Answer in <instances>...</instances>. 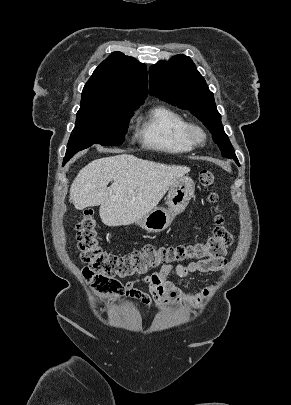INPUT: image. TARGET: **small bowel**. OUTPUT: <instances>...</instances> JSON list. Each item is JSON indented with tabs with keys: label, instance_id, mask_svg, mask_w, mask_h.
I'll list each match as a JSON object with an SVG mask.
<instances>
[{
	"label": "small bowel",
	"instance_id": "obj_1",
	"mask_svg": "<svg viewBox=\"0 0 291 405\" xmlns=\"http://www.w3.org/2000/svg\"><path fill=\"white\" fill-rule=\"evenodd\" d=\"M228 260L221 259H206L190 264L179 263L175 266L165 265L161 269L152 274L140 279L130 280L125 284V296L139 300L149 310L163 309L173 303H189L194 304L208 296L213 288V285L204 287L196 295H186L182 293L172 282V278L187 277L192 273H209L218 272L226 268ZM139 283H145L148 286V292L137 288Z\"/></svg>",
	"mask_w": 291,
	"mask_h": 405
}]
</instances>
